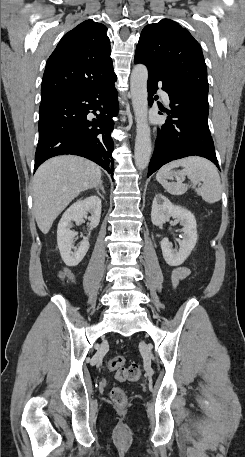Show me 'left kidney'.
Masks as SVG:
<instances>
[{
  "instance_id": "obj_1",
  "label": "left kidney",
  "mask_w": 245,
  "mask_h": 457,
  "mask_svg": "<svg viewBox=\"0 0 245 457\" xmlns=\"http://www.w3.org/2000/svg\"><path fill=\"white\" fill-rule=\"evenodd\" d=\"M168 216H173L176 222L178 220L182 224L183 229H180V231H182L183 235L181 239H176L180 249H172V243H170L169 239H162L160 243L162 255L167 265L179 267L186 261L197 243V222L190 210L173 204L164 194H156L151 210L153 224H156V226L164 224L168 220Z\"/></svg>"
}]
</instances>
